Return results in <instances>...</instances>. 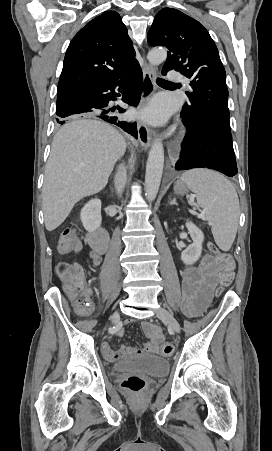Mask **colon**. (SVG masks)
<instances>
[{"label":"colon","mask_w":272,"mask_h":451,"mask_svg":"<svg viewBox=\"0 0 272 451\" xmlns=\"http://www.w3.org/2000/svg\"><path fill=\"white\" fill-rule=\"evenodd\" d=\"M60 247L64 249L63 253L66 256H78L79 232L73 230V227L66 228L62 233ZM209 249L214 253L220 267L218 281L214 285L220 291L231 284L234 279L235 262L227 251L217 249L213 244L209 246ZM72 263L75 265L77 262L74 260ZM56 271L59 275L61 289H69L68 294L74 307L81 309L89 306L91 302L90 288L83 286L84 276L79 265L73 268L70 262H61L56 266ZM160 351L162 354H171L172 347L171 345H162ZM121 357L119 356V358ZM145 386L146 381L140 376H131L122 381V387L134 393L140 392Z\"/></svg>","instance_id":"5ec220e1"}]
</instances>
